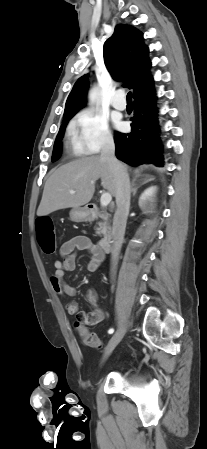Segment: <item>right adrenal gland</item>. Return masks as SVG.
<instances>
[{"label": "right adrenal gland", "mask_w": 207, "mask_h": 449, "mask_svg": "<svg viewBox=\"0 0 207 449\" xmlns=\"http://www.w3.org/2000/svg\"><path fill=\"white\" fill-rule=\"evenodd\" d=\"M152 180H154V178H148V179H145V180L142 182V184H146L147 182L152 181ZM136 191H137V187H136V185H135V180H133V182H132V187H131V192H132L133 196H135Z\"/></svg>", "instance_id": "1"}]
</instances>
